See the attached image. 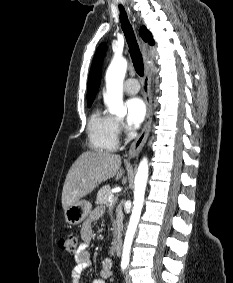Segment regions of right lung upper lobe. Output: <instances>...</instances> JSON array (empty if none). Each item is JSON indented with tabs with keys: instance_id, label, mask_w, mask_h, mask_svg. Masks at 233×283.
<instances>
[{
	"instance_id": "obj_1",
	"label": "right lung upper lobe",
	"mask_w": 233,
	"mask_h": 283,
	"mask_svg": "<svg viewBox=\"0 0 233 283\" xmlns=\"http://www.w3.org/2000/svg\"><path fill=\"white\" fill-rule=\"evenodd\" d=\"M140 35L142 39L150 45H153L155 42L153 40L152 34L145 28L142 27L140 30ZM105 53V44H101L96 51L93 63L91 66L89 79H88V88H87V102L88 105L92 104L95 95L100 86L101 80V67Z\"/></svg>"
}]
</instances>
